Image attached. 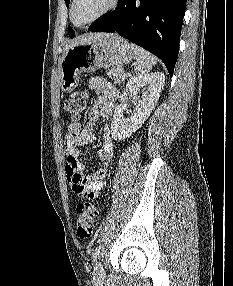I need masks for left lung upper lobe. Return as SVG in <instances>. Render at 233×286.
<instances>
[{
  "mask_svg": "<svg viewBox=\"0 0 233 286\" xmlns=\"http://www.w3.org/2000/svg\"><path fill=\"white\" fill-rule=\"evenodd\" d=\"M69 2L70 0H65V3L67 6H69ZM68 33H69L70 38H73L75 36V32L71 27H68Z\"/></svg>",
  "mask_w": 233,
  "mask_h": 286,
  "instance_id": "obj_1",
  "label": "left lung upper lobe"
}]
</instances>
